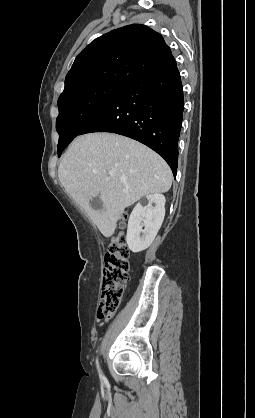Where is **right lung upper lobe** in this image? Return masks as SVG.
I'll use <instances>...</instances> for the list:
<instances>
[{
  "instance_id": "1",
  "label": "right lung upper lobe",
  "mask_w": 255,
  "mask_h": 418,
  "mask_svg": "<svg viewBox=\"0 0 255 418\" xmlns=\"http://www.w3.org/2000/svg\"><path fill=\"white\" fill-rule=\"evenodd\" d=\"M176 63L161 34L132 24L93 40L75 59L62 94L96 81L130 84Z\"/></svg>"
}]
</instances>
